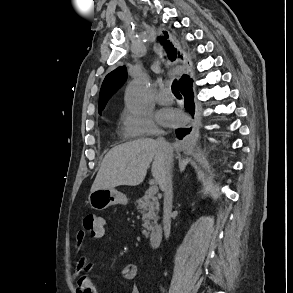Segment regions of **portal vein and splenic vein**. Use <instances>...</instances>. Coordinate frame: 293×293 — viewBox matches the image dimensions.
Wrapping results in <instances>:
<instances>
[{
  "instance_id": "obj_1",
  "label": "portal vein and splenic vein",
  "mask_w": 293,
  "mask_h": 293,
  "mask_svg": "<svg viewBox=\"0 0 293 293\" xmlns=\"http://www.w3.org/2000/svg\"><path fill=\"white\" fill-rule=\"evenodd\" d=\"M158 192V187L156 185L150 186L148 189L149 195H155Z\"/></svg>"
}]
</instances>
